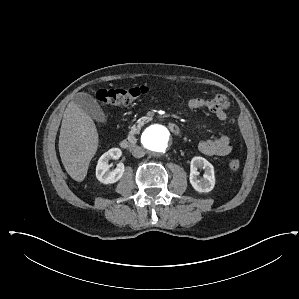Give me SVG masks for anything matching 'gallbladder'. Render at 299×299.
Segmentation results:
<instances>
[{
	"mask_svg": "<svg viewBox=\"0 0 299 299\" xmlns=\"http://www.w3.org/2000/svg\"><path fill=\"white\" fill-rule=\"evenodd\" d=\"M73 102L84 110L92 119L99 123H106L107 118L96 99L87 93H77Z\"/></svg>",
	"mask_w": 299,
	"mask_h": 299,
	"instance_id": "gallbladder-1",
	"label": "gallbladder"
}]
</instances>
